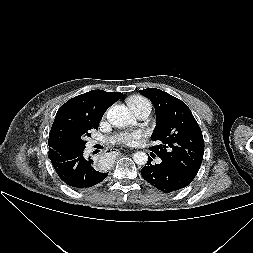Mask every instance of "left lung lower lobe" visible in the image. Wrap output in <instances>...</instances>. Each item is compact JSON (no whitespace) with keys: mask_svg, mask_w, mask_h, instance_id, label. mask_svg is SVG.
<instances>
[{"mask_svg":"<svg viewBox=\"0 0 253 253\" xmlns=\"http://www.w3.org/2000/svg\"><path fill=\"white\" fill-rule=\"evenodd\" d=\"M151 161L152 159L148 156V162L141 169V175L158 190L166 193L174 192L188 186L193 180L169 162L162 160L160 164L153 165Z\"/></svg>","mask_w":253,"mask_h":253,"instance_id":"left-lung-lower-lobe-1","label":"left lung lower lobe"}]
</instances>
